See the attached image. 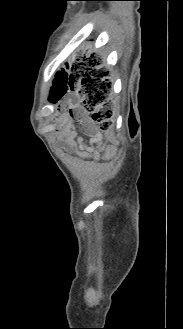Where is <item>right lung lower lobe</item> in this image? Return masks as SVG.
<instances>
[{"instance_id":"1","label":"right lung lower lobe","mask_w":183,"mask_h":329,"mask_svg":"<svg viewBox=\"0 0 183 329\" xmlns=\"http://www.w3.org/2000/svg\"><path fill=\"white\" fill-rule=\"evenodd\" d=\"M88 63L89 65H93L92 60H89Z\"/></svg>"}]
</instances>
